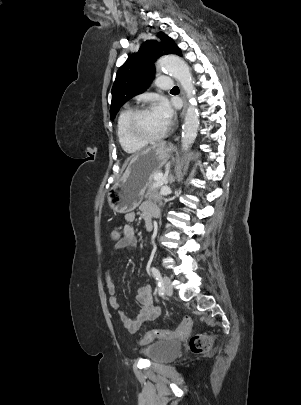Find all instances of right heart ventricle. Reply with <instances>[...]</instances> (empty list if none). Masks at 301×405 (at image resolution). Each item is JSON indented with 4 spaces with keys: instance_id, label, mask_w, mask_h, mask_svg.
<instances>
[{
    "instance_id": "obj_1",
    "label": "right heart ventricle",
    "mask_w": 301,
    "mask_h": 405,
    "mask_svg": "<svg viewBox=\"0 0 301 405\" xmlns=\"http://www.w3.org/2000/svg\"><path fill=\"white\" fill-rule=\"evenodd\" d=\"M131 112H132L131 108L129 107L124 108L118 116L116 125V134L118 141L122 149L128 154L137 153L144 147L143 144H139L133 141L127 133L126 129L127 120Z\"/></svg>"
}]
</instances>
